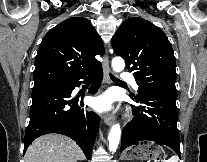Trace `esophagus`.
Segmentation results:
<instances>
[{"label": "esophagus", "instance_id": "1", "mask_svg": "<svg viewBox=\"0 0 207 162\" xmlns=\"http://www.w3.org/2000/svg\"><path fill=\"white\" fill-rule=\"evenodd\" d=\"M109 73H110L109 59L108 56L105 55L103 60V74H104V81L106 83H110ZM103 121L106 125L110 126L113 123V116L109 113H105L103 115Z\"/></svg>", "mask_w": 207, "mask_h": 162}]
</instances>
